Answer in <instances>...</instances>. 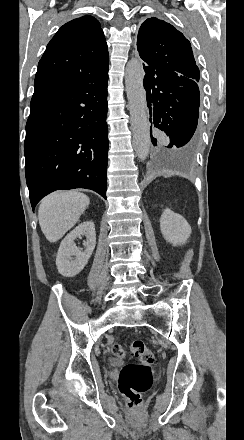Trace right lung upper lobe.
Segmentation results:
<instances>
[{
    "instance_id": "1",
    "label": "right lung upper lobe",
    "mask_w": 244,
    "mask_h": 440,
    "mask_svg": "<svg viewBox=\"0 0 244 440\" xmlns=\"http://www.w3.org/2000/svg\"><path fill=\"white\" fill-rule=\"evenodd\" d=\"M108 66V49L100 23L90 15L64 24L39 61L34 85L71 78Z\"/></svg>"
}]
</instances>
